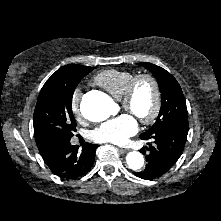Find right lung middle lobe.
<instances>
[{
	"label": "right lung middle lobe",
	"instance_id": "right-lung-middle-lobe-1",
	"mask_svg": "<svg viewBox=\"0 0 221 221\" xmlns=\"http://www.w3.org/2000/svg\"><path fill=\"white\" fill-rule=\"evenodd\" d=\"M94 67L69 64L57 70L42 87L33 116L36 144L71 139L76 131L72 97L81 79Z\"/></svg>",
	"mask_w": 221,
	"mask_h": 221
}]
</instances>
